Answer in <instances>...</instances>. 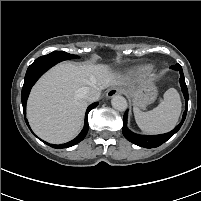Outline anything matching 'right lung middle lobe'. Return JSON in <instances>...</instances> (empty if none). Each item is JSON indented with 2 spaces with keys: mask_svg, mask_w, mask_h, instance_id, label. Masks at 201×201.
Listing matches in <instances>:
<instances>
[{
  "mask_svg": "<svg viewBox=\"0 0 201 201\" xmlns=\"http://www.w3.org/2000/svg\"><path fill=\"white\" fill-rule=\"evenodd\" d=\"M46 56H53L56 58H62V60H67V59H74V58H78V56L73 55V54H69L63 51H54Z\"/></svg>",
  "mask_w": 201,
  "mask_h": 201,
  "instance_id": "1",
  "label": "right lung middle lobe"
}]
</instances>
